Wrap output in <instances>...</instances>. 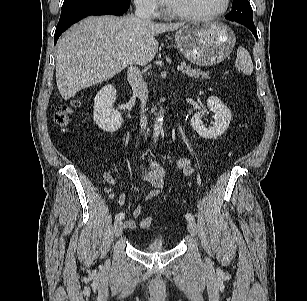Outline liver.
Masks as SVG:
<instances>
[{"label":"liver","mask_w":307,"mask_h":301,"mask_svg":"<svg viewBox=\"0 0 307 301\" xmlns=\"http://www.w3.org/2000/svg\"><path fill=\"white\" fill-rule=\"evenodd\" d=\"M183 23H154L134 15L91 16L68 29L56 44V83L64 100L108 80L128 65H147L155 57V35Z\"/></svg>","instance_id":"obj_1"}]
</instances>
